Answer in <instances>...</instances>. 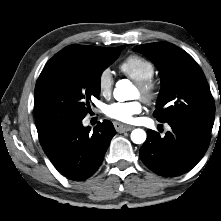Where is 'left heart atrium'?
Instances as JSON below:
<instances>
[{"mask_svg":"<svg viewBox=\"0 0 221 221\" xmlns=\"http://www.w3.org/2000/svg\"><path fill=\"white\" fill-rule=\"evenodd\" d=\"M142 112V105L139 101L115 102L108 105L105 113L108 117L129 123L134 117Z\"/></svg>","mask_w":221,"mask_h":221,"instance_id":"39dd6f15","label":"left heart atrium"}]
</instances>
